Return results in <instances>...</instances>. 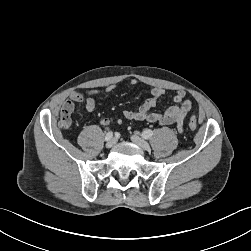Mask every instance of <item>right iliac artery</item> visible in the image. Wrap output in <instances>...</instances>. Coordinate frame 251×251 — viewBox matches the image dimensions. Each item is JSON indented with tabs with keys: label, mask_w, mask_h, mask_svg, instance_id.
Masks as SVG:
<instances>
[{
	"label": "right iliac artery",
	"mask_w": 251,
	"mask_h": 251,
	"mask_svg": "<svg viewBox=\"0 0 251 251\" xmlns=\"http://www.w3.org/2000/svg\"><path fill=\"white\" fill-rule=\"evenodd\" d=\"M112 137H113V133H112V131H109V132L106 134V136H105V140H106V141H109V140L112 139Z\"/></svg>",
	"instance_id": "1"
}]
</instances>
